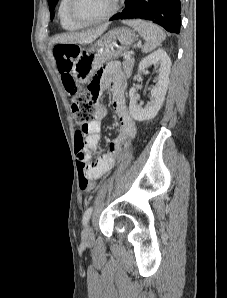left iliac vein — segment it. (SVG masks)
<instances>
[{
    "mask_svg": "<svg viewBox=\"0 0 227 298\" xmlns=\"http://www.w3.org/2000/svg\"><path fill=\"white\" fill-rule=\"evenodd\" d=\"M82 240L86 244H90L94 240V232L90 225H86L82 231Z\"/></svg>",
    "mask_w": 227,
    "mask_h": 298,
    "instance_id": "obj_1",
    "label": "left iliac vein"
}]
</instances>
